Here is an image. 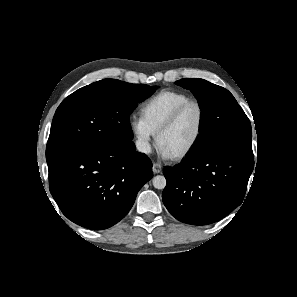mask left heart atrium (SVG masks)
Wrapping results in <instances>:
<instances>
[{
    "mask_svg": "<svg viewBox=\"0 0 297 297\" xmlns=\"http://www.w3.org/2000/svg\"><path fill=\"white\" fill-rule=\"evenodd\" d=\"M158 150H159V154L163 158H171L173 156L169 150H167L163 145L159 143H158Z\"/></svg>",
    "mask_w": 297,
    "mask_h": 297,
    "instance_id": "left-heart-atrium-1",
    "label": "left heart atrium"
}]
</instances>
